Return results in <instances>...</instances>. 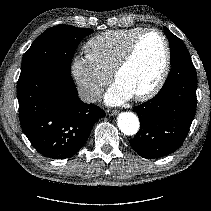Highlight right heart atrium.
Masks as SVG:
<instances>
[{
	"label": "right heart atrium",
	"mask_w": 211,
	"mask_h": 211,
	"mask_svg": "<svg viewBox=\"0 0 211 211\" xmlns=\"http://www.w3.org/2000/svg\"><path fill=\"white\" fill-rule=\"evenodd\" d=\"M70 71L80 97L89 103L99 99L111 79V74L103 71L88 54L75 55L71 60Z\"/></svg>",
	"instance_id": "d8ad5b80"
}]
</instances>
